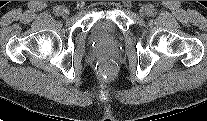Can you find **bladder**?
Returning <instances> with one entry per match:
<instances>
[{
	"mask_svg": "<svg viewBox=\"0 0 207 121\" xmlns=\"http://www.w3.org/2000/svg\"><path fill=\"white\" fill-rule=\"evenodd\" d=\"M118 34L115 23L109 18H101L92 27V36L95 39L111 40Z\"/></svg>",
	"mask_w": 207,
	"mask_h": 121,
	"instance_id": "obj_1",
	"label": "bladder"
}]
</instances>
